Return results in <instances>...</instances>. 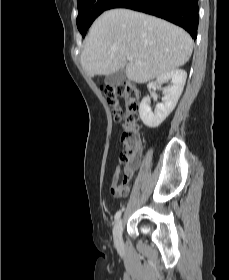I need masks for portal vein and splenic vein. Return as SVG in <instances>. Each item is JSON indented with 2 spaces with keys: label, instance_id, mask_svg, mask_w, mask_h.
<instances>
[{
  "label": "portal vein and splenic vein",
  "instance_id": "1",
  "mask_svg": "<svg viewBox=\"0 0 229 280\" xmlns=\"http://www.w3.org/2000/svg\"><path fill=\"white\" fill-rule=\"evenodd\" d=\"M127 60H128V61H133V60H134V58H133L132 56H128V57H127ZM137 63H139V64H140L141 62L137 61Z\"/></svg>",
  "mask_w": 229,
  "mask_h": 280
}]
</instances>
